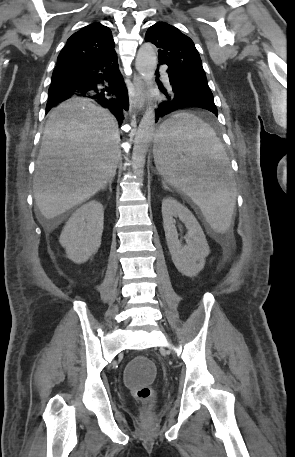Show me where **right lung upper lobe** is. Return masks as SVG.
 <instances>
[{
  "label": "right lung upper lobe",
  "mask_w": 295,
  "mask_h": 457,
  "mask_svg": "<svg viewBox=\"0 0 295 457\" xmlns=\"http://www.w3.org/2000/svg\"><path fill=\"white\" fill-rule=\"evenodd\" d=\"M114 51L111 30L94 22L74 33L61 50L57 66L76 65L97 60Z\"/></svg>",
  "instance_id": "1"
}]
</instances>
